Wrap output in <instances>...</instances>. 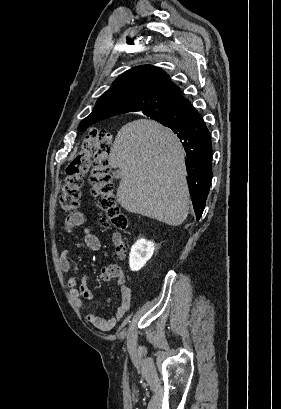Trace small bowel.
<instances>
[{"label":"small bowel","instance_id":"small-bowel-1","mask_svg":"<svg viewBox=\"0 0 281 409\" xmlns=\"http://www.w3.org/2000/svg\"><path fill=\"white\" fill-rule=\"evenodd\" d=\"M66 227L71 230L76 227L82 226L85 223L84 215L82 212L77 211L70 214L66 219ZM84 242L87 247L92 251H98L101 247L100 240L98 236L92 231L90 226H87L84 232ZM71 256L72 252L70 249H66L62 252L60 257V264L64 271H69L71 269ZM99 279L101 281L115 280L118 285H120V297L119 303L114 311V313L108 317L104 318L97 315L94 312H87V320L94 325L96 328L103 332L110 331L119 322L124 315L128 312L132 291L131 288L126 285V276L122 267L115 263H110L103 267L99 273ZM70 293L76 305L81 309L87 308V301H93L96 299L93 291L87 286V277L82 278L80 285L77 284L75 278H70L68 281ZM106 298L105 301H109Z\"/></svg>","mask_w":281,"mask_h":409}]
</instances>
